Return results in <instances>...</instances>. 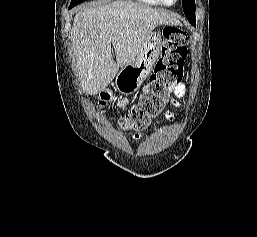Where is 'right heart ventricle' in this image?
Masks as SVG:
<instances>
[{
	"mask_svg": "<svg viewBox=\"0 0 257 237\" xmlns=\"http://www.w3.org/2000/svg\"><path fill=\"white\" fill-rule=\"evenodd\" d=\"M136 1H138L142 4L152 5V6L162 5L159 0H136Z\"/></svg>",
	"mask_w": 257,
	"mask_h": 237,
	"instance_id": "1",
	"label": "right heart ventricle"
}]
</instances>
